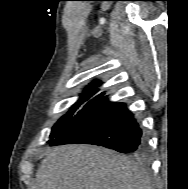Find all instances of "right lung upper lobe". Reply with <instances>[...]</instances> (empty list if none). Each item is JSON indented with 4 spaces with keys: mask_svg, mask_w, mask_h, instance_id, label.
I'll list each match as a JSON object with an SVG mask.
<instances>
[{
    "mask_svg": "<svg viewBox=\"0 0 188 189\" xmlns=\"http://www.w3.org/2000/svg\"><path fill=\"white\" fill-rule=\"evenodd\" d=\"M101 84H102L101 81L95 80L85 88V92L87 93L97 92L99 90L98 87L101 86Z\"/></svg>",
    "mask_w": 188,
    "mask_h": 189,
    "instance_id": "1",
    "label": "right lung upper lobe"
}]
</instances>
